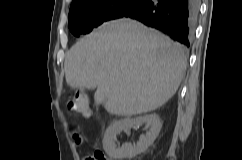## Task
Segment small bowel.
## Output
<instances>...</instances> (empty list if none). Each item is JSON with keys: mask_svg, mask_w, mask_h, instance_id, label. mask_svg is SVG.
I'll return each instance as SVG.
<instances>
[{"mask_svg": "<svg viewBox=\"0 0 242 160\" xmlns=\"http://www.w3.org/2000/svg\"><path fill=\"white\" fill-rule=\"evenodd\" d=\"M88 157L84 158L83 160H87Z\"/></svg>", "mask_w": 242, "mask_h": 160, "instance_id": "small-bowel-1", "label": "small bowel"}]
</instances>
